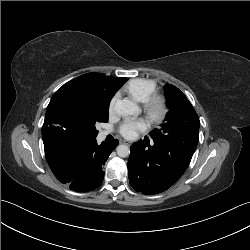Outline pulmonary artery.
I'll list each match as a JSON object with an SVG mask.
<instances>
[{
	"instance_id": "pulmonary-artery-1",
	"label": "pulmonary artery",
	"mask_w": 250,
	"mask_h": 250,
	"mask_svg": "<svg viewBox=\"0 0 250 250\" xmlns=\"http://www.w3.org/2000/svg\"><path fill=\"white\" fill-rule=\"evenodd\" d=\"M108 133H109V131H103V132L101 133V136H102V137H105Z\"/></svg>"
}]
</instances>
